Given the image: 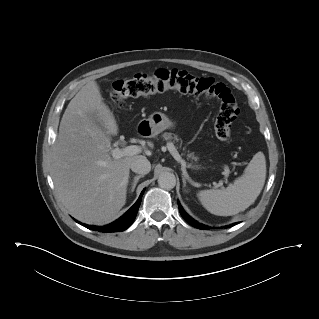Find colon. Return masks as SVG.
<instances>
[{
    "label": "colon",
    "mask_w": 319,
    "mask_h": 319,
    "mask_svg": "<svg viewBox=\"0 0 319 319\" xmlns=\"http://www.w3.org/2000/svg\"><path fill=\"white\" fill-rule=\"evenodd\" d=\"M168 90L217 101L219 112L214 123L215 135L221 141L230 139L232 122L239 113V106L231 90L212 78L197 77L176 69L139 73L130 79L116 80L113 83L112 102L115 106L124 108L128 99Z\"/></svg>",
    "instance_id": "1"
}]
</instances>
